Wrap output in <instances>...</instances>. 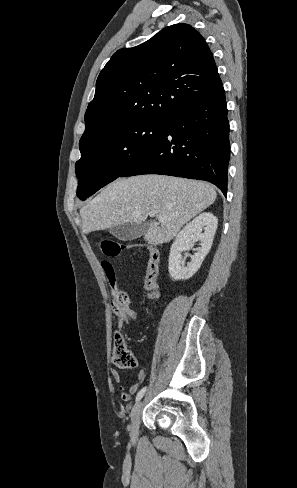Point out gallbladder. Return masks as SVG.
Segmentation results:
<instances>
[{"label":"gallbladder","instance_id":"bac80fb5","mask_svg":"<svg viewBox=\"0 0 297 488\" xmlns=\"http://www.w3.org/2000/svg\"><path fill=\"white\" fill-rule=\"evenodd\" d=\"M148 229L147 223L123 224L109 228V232L121 241H131L144 235Z\"/></svg>","mask_w":297,"mask_h":488}]
</instances>
